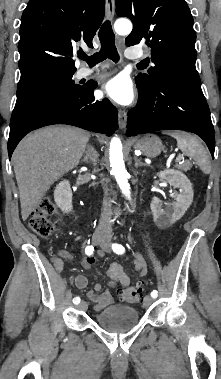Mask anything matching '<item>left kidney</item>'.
<instances>
[{
	"label": "left kidney",
	"instance_id": "5707ae66",
	"mask_svg": "<svg viewBox=\"0 0 221 379\" xmlns=\"http://www.w3.org/2000/svg\"><path fill=\"white\" fill-rule=\"evenodd\" d=\"M157 176L166 180L174 188H179L180 191V193L170 194L175 200L172 207L163 209L162 202L157 197H154L150 204L155 223L160 226H169L179 220L190 207L193 201V188L189 179L178 170H164Z\"/></svg>",
	"mask_w": 221,
	"mask_h": 379
}]
</instances>
